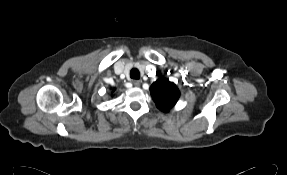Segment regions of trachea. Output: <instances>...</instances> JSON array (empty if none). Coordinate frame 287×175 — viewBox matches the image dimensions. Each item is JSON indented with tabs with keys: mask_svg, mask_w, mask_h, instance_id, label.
Returning a JSON list of instances; mask_svg holds the SVG:
<instances>
[{
	"mask_svg": "<svg viewBox=\"0 0 287 175\" xmlns=\"http://www.w3.org/2000/svg\"><path fill=\"white\" fill-rule=\"evenodd\" d=\"M130 77H131L132 79H139V78H140V72H139V70H138L137 68L131 69V71H130Z\"/></svg>",
	"mask_w": 287,
	"mask_h": 175,
	"instance_id": "trachea-1",
	"label": "trachea"
}]
</instances>
